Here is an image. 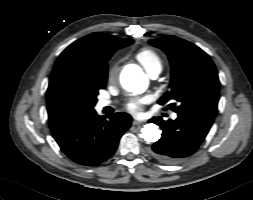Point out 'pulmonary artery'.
<instances>
[{
	"label": "pulmonary artery",
	"mask_w": 253,
	"mask_h": 200,
	"mask_svg": "<svg viewBox=\"0 0 253 200\" xmlns=\"http://www.w3.org/2000/svg\"><path fill=\"white\" fill-rule=\"evenodd\" d=\"M160 72H153V73H150L149 75H150V77L151 78H156L157 76H158V74H159ZM110 105V101H108V100H100L99 102H98V108H100V109H102V108H104V107H106V106H109ZM171 118L172 119H176L177 118V114L176 113H173L172 115H171Z\"/></svg>",
	"instance_id": "e3ab8cb5"
}]
</instances>
